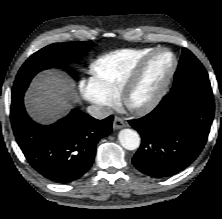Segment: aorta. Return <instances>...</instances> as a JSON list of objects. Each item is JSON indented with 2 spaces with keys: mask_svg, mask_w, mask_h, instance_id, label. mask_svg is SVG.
<instances>
[{
  "mask_svg": "<svg viewBox=\"0 0 222 219\" xmlns=\"http://www.w3.org/2000/svg\"><path fill=\"white\" fill-rule=\"evenodd\" d=\"M118 139L122 147L127 150H135L140 146V137L132 129H122L119 132Z\"/></svg>",
  "mask_w": 222,
  "mask_h": 219,
  "instance_id": "aorta-1",
  "label": "aorta"
}]
</instances>
